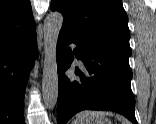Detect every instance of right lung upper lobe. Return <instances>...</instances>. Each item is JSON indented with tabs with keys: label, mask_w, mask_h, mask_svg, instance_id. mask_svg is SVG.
I'll list each match as a JSON object with an SVG mask.
<instances>
[{
	"label": "right lung upper lobe",
	"mask_w": 156,
	"mask_h": 124,
	"mask_svg": "<svg viewBox=\"0 0 156 124\" xmlns=\"http://www.w3.org/2000/svg\"><path fill=\"white\" fill-rule=\"evenodd\" d=\"M35 29L30 0H0V37Z\"/></svg>",
	"instance_id": "1"
}]
</instances>
